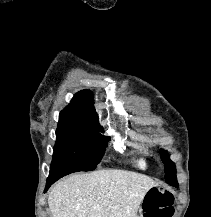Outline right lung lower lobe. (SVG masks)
Returning <instances> with one entry per match:
<instances>
[{
	"label": "right lung lower lobe",
	"mask_w": 211,
	"mask_h": 217,
	"mask_svg": "<svg viewBox=\"0 0 211 217\" xmlns=\"http://www.w3.org/2000/svg\"><path fill=\"white\" fill-rule=\"evenodd\" d=\"M59 178H54V179H48L47 183H46V188H45V192L48 190V188L55 182L57 181Z\"/></svg>",
	"instance_id": "1"
}]
</instances>
